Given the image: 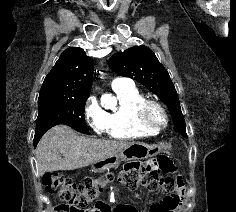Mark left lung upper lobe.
Wrapping results in <instances>:
<instances>
[{
    "instance_id": "left-lung-upper-lobe-1",
    "label": "left lung upper lobe",
    "mask_w": 236,
    "mask_h": 212,
    "mask_svg": "<svg viewBox=\"0 0 236 212\" xmlns=\"http://www.w3.org/2000/svg\"><path fill=\"white\" fill-rule=\"evenodd\" d=\"M109 67L118 75L132 78L156 94L169 108L174 130L186 136V125L176 89L169 73L147 46H134L118 52L108 61Z\"/></svg>"
}]
</instances>
